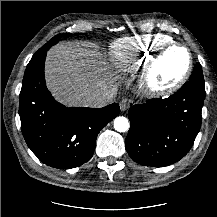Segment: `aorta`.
<instances>
[{"label": "aorta", "instance_id": "aorta-1", "mask_svg": "<svg viewBox=\"0 0 217 217\" xmlns=\"http://www.w3.org/2000/svg\"><path fill=\"white\" fill-rule=\"evenodd\" d=\"M130 127L129 121L126 117L120 116L114 120V129L118 132H126Z\"/></svg>", "mask_w": 217, "mask_h": 217}]
</instances>
